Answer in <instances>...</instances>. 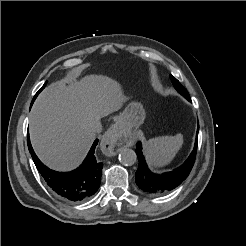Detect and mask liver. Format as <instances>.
I'll list each match as a JSON object with an SVG mask.
<instances>
[{"mask_svg":"<svg viewBox=\"0 0 246 246\" xmlns=\"http://www.w3.org/2000/svg\"><path fill=\"white\" fill-rule=\"evenodd\" d=\"M125 100L119 84L104 76L49 85L36 99L29 118L36 154L55 170L77 167L95 138L90 121L119 110Z\"/></svg>","mask_w":246,"mask_h":246,"instance_id":"liver-1","label":"liver"}]
</instances>
